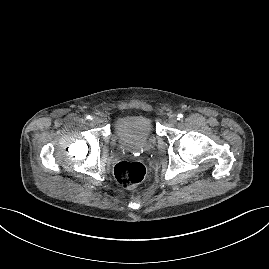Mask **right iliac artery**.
<instances>
[{
  "label": "right iliac artery",
  "mask_w": 269,
  "mask_h": 269,
  "mask_svg": "<svg viewBox=\"0 0 269 269\" xmlns=\"http://www.w3.org/2000/svg\"><path fill=\"white\" fill-rule=\"evenodd\" d=\"M86 119L91 120L92 117H91L90 115H88V116L86 117Z\"/></svg>",
  "instance_id": "right-iliac-artery-1"
}]
</instances>
